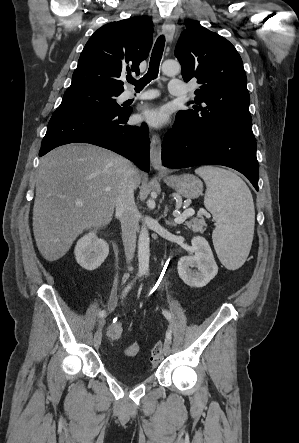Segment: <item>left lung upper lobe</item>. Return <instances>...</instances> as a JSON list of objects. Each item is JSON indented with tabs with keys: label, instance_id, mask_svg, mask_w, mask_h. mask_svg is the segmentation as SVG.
Listing matches in <instances>:
<instances>
[{
	"label": "left lung upper lobe",
	"instance_id": "1",
	"mask_svg": "<svg viewBox=\"0 0 299 443\" xmlns=\"http://www.w3.org/2000/svg\"><path fill=\"white\" fill-rule=\"evenodd\" d=\"M175 56L183 79H197L200 88L190 104L194 110L177 115L203 130L240 128L252 130L250 96L243 62L235 47L222 36L199 24L187 27L180 37Z\"/></svg>",
	"mask_w": 299,
	"mask_h": 443
}]
</instances>
